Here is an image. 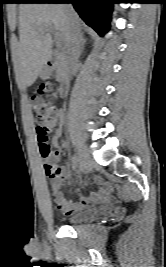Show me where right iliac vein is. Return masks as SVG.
Wrapping results in <instances>:
<instances>
[{
    "mask_svg": "<svg viewBox=\"0 0 166 267\" xmlns=\"http://www.w3.org/2000/svg\"><path fill=\"white\" fill-rule=\"evenodd\" d=\"M78 155L80 159L81 170L86 172L89 171L92 166V158L90 157L87 149L83 146V144H79Z\"/></svg>",
    "mask_w": 166,
    "mask_h": 267,
    "instance_id": "63e3f726",
    "label": "right iliac vein"
}]
</instances>
